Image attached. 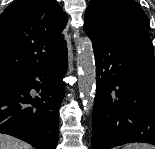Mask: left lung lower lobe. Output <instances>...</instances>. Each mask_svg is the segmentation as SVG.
<instances>
[{
    "label": "left lung lower lobe",
    "instance_id": "left-lung-lower-lobe-1",
    "mask_svg": "<svg viewBox=\"0 0 155 149\" xmlns=\"http://www.w3.org/2000/svg\"><path fill=\"white\" fill-rule=\"evenodd\" d=\"M96 63L92 149L155 145V63L148 33L92 39Z\"/></svg>",
    "mask_w": 155,
    "mask_h": 149
}]
</instances>
